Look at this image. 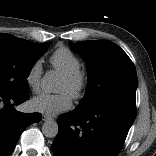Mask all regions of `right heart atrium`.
<instances>
[{"label": "right heart atrium", "instance_id": "right-heart-atrium-1", "mask_svg": "<svg viewBox=\"0 0 156 156\" xmlns=\"http://www.w3.org/2000/svg\"><path fill=\"white\" fill-rule=\"evenodd\" d=\"M42 63L40 60L35 61L27 71L26 83L33 92L40 90Z\"/></svg>", "mask_w": 156, "mask_h": 156}]
</instances>
